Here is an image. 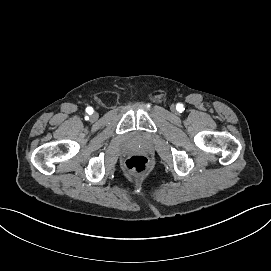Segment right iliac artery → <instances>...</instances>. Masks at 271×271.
I'll return each instance as SVG.
<instances>
[{"label": "right iliac artery", "mask_w": 271, "mask_h": 271, "mask_svg": "<svg viewBox=\"0 0 271 271\" xmlns=\"http://www.w3.org/2000/svg\"><path fill=\"white\" fill-rule=\"evenodd\" d=\"M86 112L91 115L93 113V108L92 107H87Z\"/></svg>", "instance_id": "obj_1"}]
</instances>
